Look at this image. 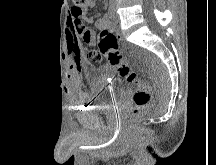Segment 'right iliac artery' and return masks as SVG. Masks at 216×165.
<instances>
[{"mask_svg":"<svg viewBox=\"0 0 216 165\" xmlns=\"http://www.w3.org/2000/svg\"><path fill=\"white\" fill-rule=\"evenodd\" d=\"M114 16V10H113V7H112V4L110 5L109 9H108V17L110 19H112Z\"/></svg>","mask_w":216,"mask_h":165,"instance_id":"obj_1","label":"right iliac artery"}]
</instances>
